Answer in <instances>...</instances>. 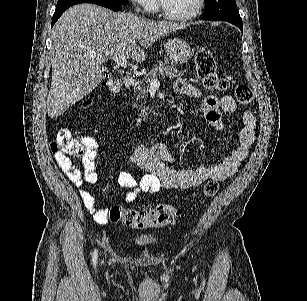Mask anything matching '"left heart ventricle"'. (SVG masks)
Instances as JSON below:
<instances>
[{"instance_id": "b2bd125f", "label": "left heart ventricle", "mask_w": 307, "mask_h": 301, "mask_svg": "<svg viewBox=\"0 0 307 301\" xmlns=\"http://www.w3.org/2000/svg\"><path fill=\"white\" fill-rule=\"evenodd\" d=\"M196 0H165L166 11L171 13H184L194 11Z\"/></svg>"}]
</instances>
